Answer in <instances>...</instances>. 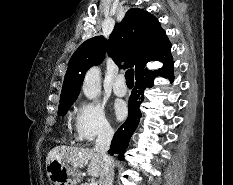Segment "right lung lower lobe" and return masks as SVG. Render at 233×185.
<instances>
[{
    "label": "right lung lower lobe",
    "mask_w": 233,
    "mask_h": 185,
    "mask_svg": "<svg viewBox=\"0 0 233 185\" xmlns=\"http://www.w3.org/2000/svg\"><path fill=\"white\" fill-rule=\"evenodd\" d=\"M173 65L174 62L172 61V58H170L164 62L163 67L157 71L145 69L136 74L135 88L129 98L128 119L115 133L111 142V148L108 151L109 154H119V160H124L123 153L126 150L129 139L137 128L141 117L139 105L144 99V90L153 86V80L157 75L168 77L172 81Z\"/></svg>",
    "instance_id": "right-lung-lower-lobe-1"
}]
</instances>
